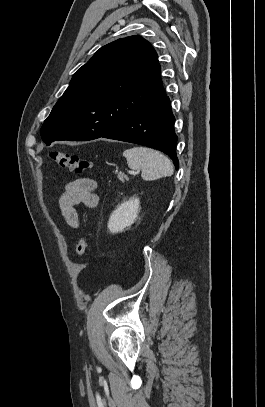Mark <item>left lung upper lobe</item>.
I'll return each mask as SVG.
<instances>
[{"label":"left lung upper lobe","instance_id":"1","mask_svg":"<svg viewBox=\"0 0 265 407\" xmlns=\"http://www.w3.org/2000/svg\"><path fill=\"white\" fill-rule=\"evenodd\" d=\"M164 92L151 44L138 35L118 39L101 47L73 75L44 121L42 140L50 145L102 137Z\"/></svg>","mask_w":265,"mask_h":407}]
</instances>
